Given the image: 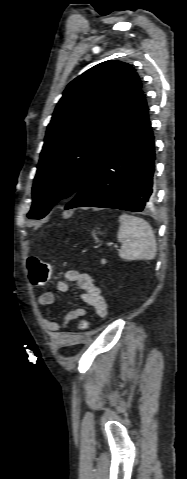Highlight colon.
<instances>
[{"instance_id": "obj_1", "label": "colon", "mask_w": 187, "mask_h": 479, "mask_svg": "<svg viewBox=\"0 0 187 479\" xmlns=\"http://www.w3.org/2000/svg\"><path fill=\"white\" fill-rule=\"evenodd\" d=\"M26 267L29 279L34 285L45 284L51 276V265L38 257H30L27 260ZM90 327L88 319H82L78 324L80 331H87Z\"/></svg>"}]
</instances>
